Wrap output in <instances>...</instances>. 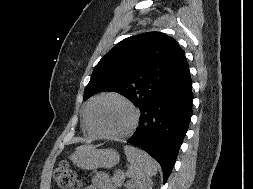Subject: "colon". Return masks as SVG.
<instances>
[{"mask_svg": "<svg viewBox=\"0 0 253 189\" xmlns=\"http://www.w3.org/2000/svg\"><path fill=\"white\" fill-rule=\"evenodd\" d=\"M54 180L59 189H80L81 187V183L77 180L74 171L64 163L56 168Z\"/></svg>", "mask_w": 253, "mask_h": 189, "instance_id": "obj_1", "label": "colon"}]
</instances>
